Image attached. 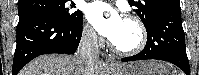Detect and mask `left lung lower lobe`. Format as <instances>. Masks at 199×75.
<instances>
[{"label":"left lung lower lobe","instance_id":"0a47b994","mask_svg":"<svg viewBox=\"0 0 199 75\" xmlns=\"http://www.w3.org/2000/svg\"><path fill=\"white\" fill-rule=\"evenodd\" d=\"M145 28L147 30L145 48L134 56L122 58L121 61L163 60L175 64L186 75H190L181 21V8L170 7L161 10Z\"/></svg>","mask_w":199,"mask_h":75}]
</instances>
